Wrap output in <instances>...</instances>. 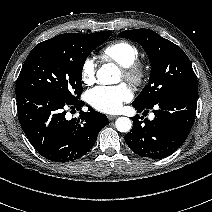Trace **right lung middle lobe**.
<instances>
[{
    "label": "right lung middle lobe",
    "instance_id": "obj_1",
    "mask_svg": "<svg viewBox=\"0 0 212 212\" xmlns=\"http://www.w3.org/2000/svg\"><path fill=\"white\" fill-rule=\"evenodd\" d=\"M111 33H66L64 40L57 45H36L21 69L16 95L45 92L66 101H77L82 92L85 60Z\"/></svg>",
    "mask_w": 212,
    "mask_h": 212
}]
</instances>
